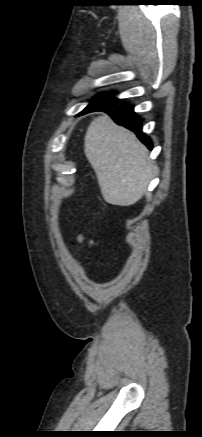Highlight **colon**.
Returning a JSON list of instances; mask_svg holds the SVG:
<instances>
[{"mask_svg": "<svg viewBox=\"0 0 202 437\" xmlns=\"http://www.w3.org/2000/svg\"><path fill=\"white\" fill-rule=\"evenodd\" d=\"M83 240H84V238L81 237V238H80V241H83Z\"/></svg>", "mask_w": 202, "mask_h": 437, "instance_id": "1", "label": "colon"}]
</instances>
